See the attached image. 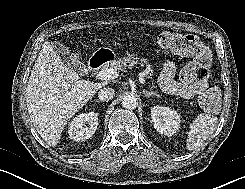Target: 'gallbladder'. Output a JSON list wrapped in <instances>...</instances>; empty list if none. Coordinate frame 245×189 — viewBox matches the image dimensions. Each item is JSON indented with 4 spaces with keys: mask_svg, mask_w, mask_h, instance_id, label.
I'll list each match as a JSON object with an SVG mask.
<instances>
[{
    "mask_svg": "<svg viewBox=\"0 0 245 189\" xmlns=\"http://www.w3.org/2000/svg\"><path fill=\"white\" fill-rule=\"evenodd\" d=\"M52 48L68 68L78 72L79 74L86 73V65L81 62L77 57L73 56L68 47H66L63 43L54 41L52 43Z\"/></svg>",
    "mask_w": 245,
    "mask_h": 189,
    "instance_id": "gallbladder-1",
    "label": "gallbladder"
}]
</instances>
